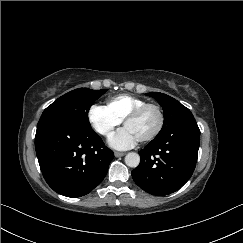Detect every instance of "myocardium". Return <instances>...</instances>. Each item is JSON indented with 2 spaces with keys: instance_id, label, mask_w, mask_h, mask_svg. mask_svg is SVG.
<instances>
[{
  "instance_id": "obj_1",
  "label": "myocardium",
  "mask_w": 243,
  "mask_h": 243,
  "mask_svg": "<svg viewBox=\"0 0 243 243\" xmlns=\"http://www.w3.org/2000/svg\"><path fill=\"white\" fill-rule=\"evenodd\" d=\"M154 109L158 114V124L155 130L146 136L145 138L139 140L141 144L148 143L152 140H154L163 130L164 124H165V114L162 109V107L155 103H146L144 105H141L137 108H135L133 111H131L123 120L124 125H126L128 122L137 119L140 115H142L147 109Z\"/></svg>"
}]
</instances>
